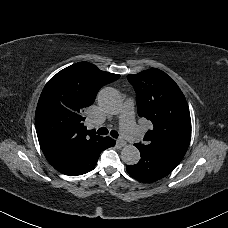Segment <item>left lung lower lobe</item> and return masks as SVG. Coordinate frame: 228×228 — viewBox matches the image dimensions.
<instances>
[{"instance_id": "left-lung-lower-lobe-1", "label": "left lung lower lobe", "mask_w": 228, "mask_h": 228, "mask_svg": "<svg viewBox=\"0 0 228 228\" xmlns=\"http://www.w3.org/2000/svg\"><path fill=\"white\" fill-rule=\"evenodd\" d=\"M135 146L140 151L141 159L135 165H127L126 169L133 178L144 183L167 176L182 160L159 150Z\"/></svg>"}]
</instances>
